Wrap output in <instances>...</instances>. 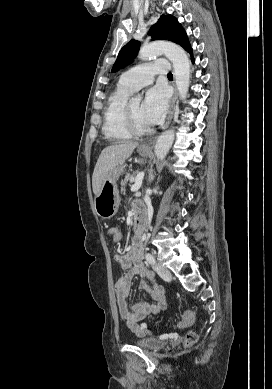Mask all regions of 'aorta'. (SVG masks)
<instances>
[{"instance_id":"1","label":"aorta","mask_w":272,"mask_h":389,"mask_svg":"<svg viewBox=\"0 0 272 389\" xmlns=\"http://www.w3.org/2000/svg\"><path fill=\"white\" fill-rule=\"evenodd\" d=\"M164 54L173 64L175 82L180 99H185L190 84V61L187 53L180 46L170 42H152L141 47L139 58L147 60ZM141 95L132 100L141 101ZM175 137V130L169 129L162 133L155 144V155L163 160L171 148Z\"/></svg>"}]
</instances>
